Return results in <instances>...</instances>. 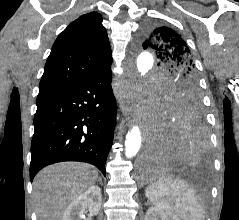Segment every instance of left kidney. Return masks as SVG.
Returning <instances> with one entry per match:
<instances>
[{
    "instance_id": "1",
    "label": "left kidney",
    "mask_w": 239,
    "mask_h": 220,
    "mask_svg": "<svg viewBox=\"0 0 239 220\" xmlns=\"http://www.w3.org/2000/svg\"><path fill=\"white\" fill-rule=\"evenodd\" d=\"M145 220H180L177 215L172 212L164 211L157 207H150L145 214Z\"/></svg>"
}]
</instances>
